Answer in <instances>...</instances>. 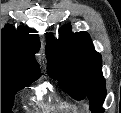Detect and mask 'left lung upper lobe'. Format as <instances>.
<instances>
[{"label": "left lung upper lobe", "mask_w": 121, "mask_h": 113, "mask_svg": "<svg viewBox=\"0 0 121 113\" xmlns=\"http://www.w3.org/2000/svg\"><path fill=\"white\" fill-rule=\"evenodd\" d=\"M46 57L48 74L65 92L75 99L87 97L90 109L103 113L106 90L102 58L86 32L72 33L69 25L64 26L58 40L47 42Z\"/></svg>", "instance_id": "1"}]
</instances>
